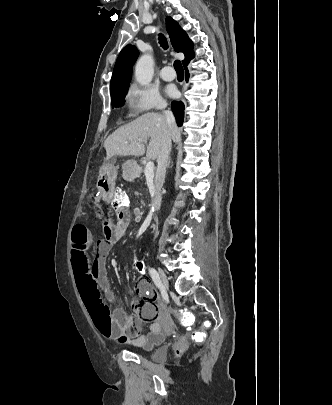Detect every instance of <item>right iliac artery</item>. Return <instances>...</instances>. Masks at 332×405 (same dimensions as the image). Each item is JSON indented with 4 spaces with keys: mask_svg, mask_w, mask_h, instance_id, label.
Here are the masks:
<instances>
[{
    "mask_svg": "<svg viewBox=\"0 0 332 405\" xmlns=\"http://www.w3.org/2000/svg\"><path fill=\"white\" fill-rule=\"evenodd\" d=\"M150 276L157 287H161V280L157 271L154 268L149 269Z\"/></svg>",
    "mask_w": 332,
    "mask_h": 405,
    "instance_id": "82829eb1",
    "label": "right iliac artery"
}]
</instances>
